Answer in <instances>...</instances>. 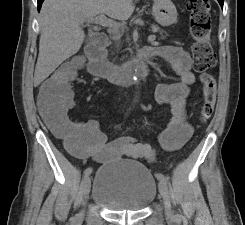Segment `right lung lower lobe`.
Masks as SVG:
<instances>
[{"mask_svg": "<svg viewBox=\"0 0 245 225\" xmlns=\"http://www.w3.org/2000/svg\"><path fill=\"white\" fill-rule=\"evenodd\" d=\"M37 1H38V10H40L41 5H42V2H43L44 0H37Z\"/></svg>", "mask_w": 245, "mask_h": 225, "instance_id": "1", "label": "right lung lower lobe"}]
</instances>
